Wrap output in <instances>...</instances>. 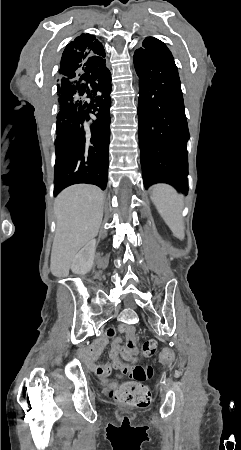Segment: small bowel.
Instances as JSON below:
<instances>
[{"label":"small bowel","instance_id":"obj_1","mask_svg":"<svg viewBox=\"0 0 241 450\" xmlns=\"http://www.w3.org/2000/svg\"><path fill=\"white\" fill-rule=\"evenodd\" d=\"M116 330L125 334L126 343L123 342L122 338L114 337ZM109 333H112L113 335L111 337H114L109 353L111 362L94 367V371L100 376L109 375L112 372V364L116 360H120L125 366H129V364L135 363L138 360V338L136 328L133 325L120 324L117 329L113 327L107 328V337H109ZM105 345L106 339H99L92 348L93 351L90 354L91 357L94 359H99L101 357V352L99 350H101ZM126 375L127 373L123 370L116 374V376L120 378L125 377Z\"/></svg>","mask_w":241,"mask_h":450}]
</instances>
